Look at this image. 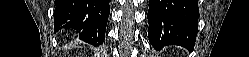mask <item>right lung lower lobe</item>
Masks as SVG:
<instances>
[{
  "instance_id": "right-lung-lower-lobe-1",
  "label": "right lung lower lobe",
  "mask_w": 249,
  "mask_h": 57,
  "mask_svg": "<svg viewBox=\"0 0 249 57\" xmlns=\"http://www.w3.org/2000/svg\"><path fill=\"white\" fill-rule=\"evenodd\" d=\"M54 12L55 31L74 28L80 38L93 45L105 39V29L110 13L108 0H56Z\"/></svg>"
}]
</instances>
